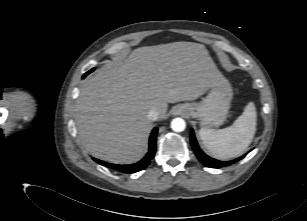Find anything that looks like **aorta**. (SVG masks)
I'll return each instance as SVG.
<instances>
[{
  "instance_id": "aorta-1",
  "label": "aorta",
  "mask_w": 307,
  "mask_h": 221,
  "mask_svg": "<svg viewBox=\"0 0 307 221\" xmlns=\"http://www.w3.org/2000/svg\"><path fill=\"white\" fill-rule=\"evenodd\" d=\"M186 123L182 118H175L171 121V128L175 132H182L185 130Z\"/></svg>"
}]
</instances>
